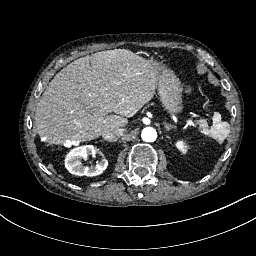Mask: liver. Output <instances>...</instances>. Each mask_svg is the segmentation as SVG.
<instances>
[{"mask_svg": "<svg viewBox=\"0 0 256 256\" xmlns=\"http://www.w3.org/2000/svg\"><path fill=\"white\" fill-rule=\"evenodd\" d=\"M160 73L127 48L81 57L46 88L36 107L37 133L47 143H81L125 127L154 98Z\"/></svg>", "mask_w": 256, "mask_h": 256, "instance_id": "liver-1", "label": "liver"}]
</instances>
